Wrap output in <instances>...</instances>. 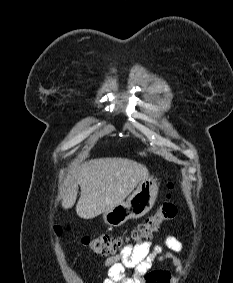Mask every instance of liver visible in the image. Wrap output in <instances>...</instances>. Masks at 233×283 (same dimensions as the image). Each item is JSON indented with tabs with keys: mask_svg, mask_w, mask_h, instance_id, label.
I'll return each instance as SVG.
<instances>
[{
	"mask_svg": "<svg viewBox=\"0 0 233 283\" xmlns=\"http://www.w3.org/2000/svg\"><path fill=\"white\" fill-rule=\"evenodd\" d=\"M148 175L144 165L128 158L89 160L70 171L62 196V207H73L79 185L81 195L76 213L83 219L95 218L122 203Z\"/></svg>",
	"mask_w": 233,
	"mask_h": 283,
	"instance_id": "1",
	"label": "liver"
}]
</instances>
